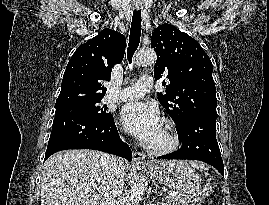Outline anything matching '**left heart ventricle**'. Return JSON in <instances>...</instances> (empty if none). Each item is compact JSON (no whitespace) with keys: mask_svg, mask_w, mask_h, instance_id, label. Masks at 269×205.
<instances>
[{"mask_svg":"<svg viewBox=\"0 0 269 205\" xmlns=\"http://www.w3.org/2000/svg\"><path fill=\"white\" fill-rule=\"evenodd\" d=\"M166 142H167V136H166L165 128L164 126H162L157 137L150 144L154 146H161V145H164Z\"/></svg>","mask_w":269,"mask_h":205,"instance_id":"left-heart-ventricle-1","label":"left heart ventricle"}]
</instances>
